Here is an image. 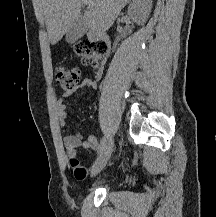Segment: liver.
I'll list each match as a JSON object with an SVG mask.
<instances>
[{
  "instance_id": "liver-1",
  "label": "liver",
  "mask_w": 216,
  "mask_h": 217,
  "mask_svg": "<svg viewBox=\"0 0 216 217\" xmlns=\"http://www.w3.org/2000/svg\"><path fill=\"white\" fill-rule=\"evenodd\" d=\"M130 0H43V9L51 44L60 41L80 18L81 6L88 5L84 25L96 32L107 31Z\"/></svg>"
}]
</instances>
